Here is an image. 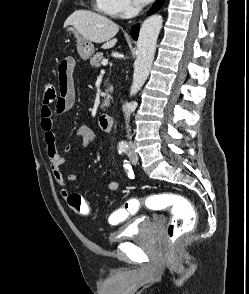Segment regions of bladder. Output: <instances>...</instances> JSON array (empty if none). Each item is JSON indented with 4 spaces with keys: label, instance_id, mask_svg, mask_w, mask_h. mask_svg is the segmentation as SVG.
I'll list each match as a JSON object with an SVG mask.
<instances>
[{
    "label": "bladder",
    "instance_id": "obj_1",
    "mask_svg": "<svg viewBox=\"0 0 249 294\" xmlns=\"http://www.w3.org/2000/svg\"><path fill=\"white\" fill-rule=\"evenodd\" d=\"M158 221L159 218L156 216H139L133 220H130L120 231L112 234L109 237V242L115 244L123 242L129 238L145 237L149 234L153 225Z\"/></svg>",
    "mask_w": 249,
    "mask_h": 294
}]
</instances>
